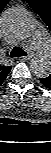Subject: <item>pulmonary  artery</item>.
Here are the masks:
<instances>
[{
    "mask_svg": "<svg viewBox=\"0 0 51 153\" xmlns=\"http://www.w3.org/2000/svg\"><path fill=\"white\" fill-rule=\"evenodd\" d=\"M34 44L36 50L41 54H48L50 52L51 43L50 40L45 37L42 32H36L34 34Z\"/></svg>",
    "mask_w": 51,
    "mask_h": 153,
    "instance_id": "1",
    "label": "pulmonary artery"
}]
</instances>
